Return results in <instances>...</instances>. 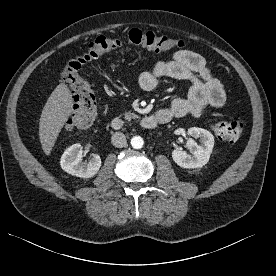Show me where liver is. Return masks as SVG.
Returning <instances> with one entry per match:
<instances>
[{
	"label": "liver",
	"instance_id": "6515ba94",
	"mask_svg": "<svg viewBox=\"0 0 276 276\" xmlns=\"http://www.w3.org/2000/svg\"><path fill=\"white\" fill-rule=\"evenodd\" d=\"M73 99L68 86L59 84L48 98L40 117L39 138L44 153L49 156L66 120L72 113Z\"/></svg>",
	"mask_w": 276,
	"mask_h": 276
}]
</instances>
